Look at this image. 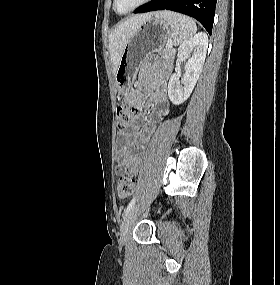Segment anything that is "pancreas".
Wrapping results in <instances>:
<instances>
[{"instance_id": "1", "label": "pancreas", "mask_w": 280, "mask_h": 285, "mask_svg": "<svg viewBox=\"0 0 280 285\" xmlns=\"http://www.w3.org/2000/svg\"><path fill=\"white\" fill-rule=\"evenodd\" d=\"M158 52L166 61H173L176 50L166 46L164 49H159Z\"/></svg>"}]
</instances>
